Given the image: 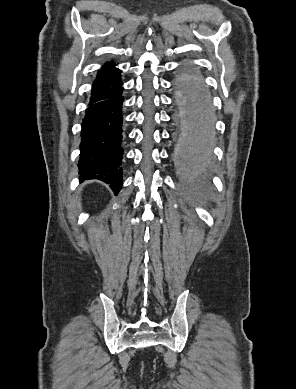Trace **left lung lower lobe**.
<instances>
[{
  "mask_svg": "<svg viewBox=\"0 0 296 389\" xmlns=\"http://www.w3.org/2000/svg\"><path fill=\"white\" fill-rule=\"evenodd\" d=\"M183 95L187 100L186 109L194 119L189 124L193 127L195 135H189L185 139L181 161L184 168L200 171L206 166L210 158L211 103L205 87L200 84L183 90Z\"/></svg>",
  "mask_w": 296,
  "mask_h": 389,
  "instance_id": "obj_1",
  "label": "left lung lower lobe"
}]
</instances>
